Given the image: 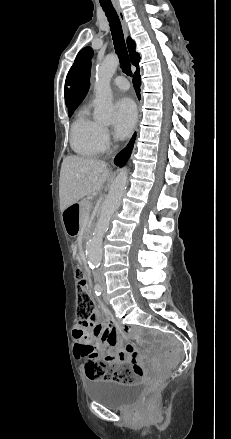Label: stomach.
Returning a JSON list of instances; mask_svg holds the SVG:
<instances>
[{
	"instance_id": "1",
	"label": "stomach",
	"mask_w": 231,
	"mask_h": 439,
	"mask_svg": "<svg viewBox=\"0 0 231 439\" xmlns=\"http://www.w3.org/2000/svg\"><path fill=\"white\" fill-rule=\"evenodd\" d=\"M67 210L68 208L63 211V215H65V218L63 219L64 228L69 235H74L77 233L78 223L76 220H70L68 218Z\"/></svg>"
}]
</instances>
